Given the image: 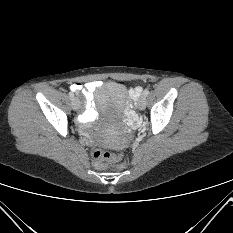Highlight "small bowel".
<instances>
[{
	"instance_id": "obj_1",
	"label": "small bowel",
	"mask_w": 233,
	"mask_h": 233,
	"mask_svg": "<svg viewBox=\"0 0 233 233\" xmlns=\"http://www.w3.org/2000/svg\"><path fill=\"white\" fill-rule=\"evenodd\" d=\"M102 85L101 81H90L85 84L74 83L70 86V90L77 94H82L85 98V110L79 115V123L85 127L96 118V110L94 108V93ZM140 92L139 88L131 91V95L136 97Z\"/></svg>"
}]
</instances>
